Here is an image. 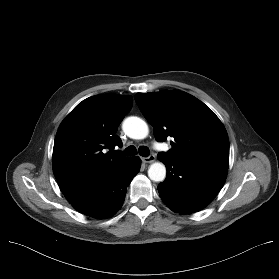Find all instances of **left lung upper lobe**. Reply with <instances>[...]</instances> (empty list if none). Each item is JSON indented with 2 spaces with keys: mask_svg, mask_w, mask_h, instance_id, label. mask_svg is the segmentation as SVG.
<instances>
[{
  "mask_svg": "<svg viewBox=\"0 0 279 279\" xmlns=\"http://www.w3.org/2000/svg\"><path fill=\"white\" fill-rule=\"evenodd\" d=\"M135 101L153 126L156 140L173 137L172 148L158 156L182 163L228 169L229 139L219 118L200 100L182 92L164 90L137 93Z\"/></svg>",
  "mask_w": 279,
  "mask_h": 279,
  "instance_id": "obj_1",
  "label": "left lung upper lobe"
}]
</instances>
